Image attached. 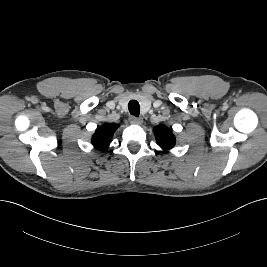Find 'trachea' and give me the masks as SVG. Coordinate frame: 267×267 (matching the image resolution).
I'll use <instances>...</instances> for the list:
<instances>
[{"mask_svg":"<svg viewBox=\"0 0 267 267\" xmlns=\"http://www.w3.org/2000/svg\"><path fill=\"white\" fill-rule=\"evenodd\" d=\"M128 109H129L130 114H132V115H134L136 117L139 116V113H140V105H139V103L136 100H131L128 103Z\"/></svg>","mask_w":267,"mask_h":267,"instance_id":"obj_1","label":"trachea"}]
</instances>
